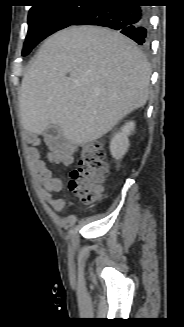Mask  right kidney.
Instances as JSON below:
<instances>
[{"instance_id":"1","label":"right kidney","mask_w":184,"mask_h":327,"mask_svg":"<svg viewBox=\"0 0 184 327\" xmlns=\"http://www.w3.org/2000/svg\"><path fill=\"white\" fill-rule=\"evenodd\" d=\"M135 123L133 121L127 122L121 131L115 134L110 142V152L113 158L121 159L128 150L129 140L128 136L134 131Z\"/></svg>"}]
</instances>
